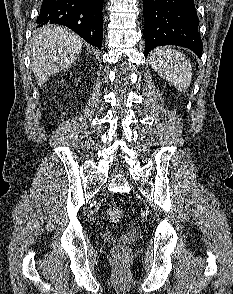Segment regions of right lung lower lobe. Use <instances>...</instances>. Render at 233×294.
Instances as JSON below:
<instances>
[{
	"mask_svg": "<svg viewBox=\"0 0 233 294\" xmlns=\"http://www.w3.org/2000/svg\"><path fill=\"white\" fill-rule=\"evenodd\" d=\"M102 6L103 0H43L36 22L39 26L47 23L67 26L101 49Z\"/></svg>",
	"mask_w": 233,
	"mask_h": 294,
	"instance_id": "right-lung-lower-lobe-1",
	"label": "right lung lower lobe"
}]
</instances>
